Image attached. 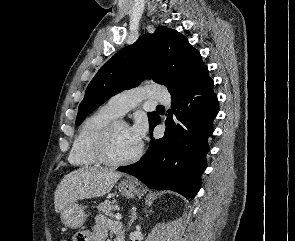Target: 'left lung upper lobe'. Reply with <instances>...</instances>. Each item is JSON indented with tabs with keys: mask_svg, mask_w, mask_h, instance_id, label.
I'll return each instance as SVG.
<instances>
[{
	"mask_svg": "<svg viewBox=\"0 0 295 241\" xmlns=\"http://www.w3.org/2000/svg\"><path fill=\"white\" fill-rule=\"evenodd\" d=\"M157 70H162L163 75H158ZM204 73L208 74V68L187 38L160 26L153 34H144L133 45L120 50L100 68L79 105L76 125L111 96L136 87L149 75L174 95ZM148 117L151 127L158 114L151 112Z\"/></svg>",
	"mask_w": 295,
	"mask_h": 241,
	"instance_id": "left-lung-upper-lobe-1",
	"label": "left lung upper lobe"
}]
</instances>
